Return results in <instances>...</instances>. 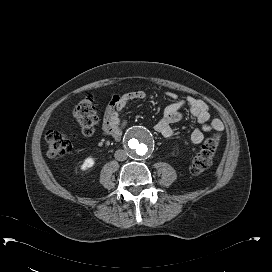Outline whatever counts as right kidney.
Wrapping results in <instances>:
<instances>
[{
	"label": "right kidney",
	"instance_id": "obj_1",
	"mask_svg": "<svg viewBox=\"0 0 272 272\" xmlns=\"http://www.w3.org/2000/svg\"><path fill=\"white\" fill-rule=\"evenodd\" d=\"M95 164V159L93 157H88L84 160L83 164L80 166L82 171H86L89 168L93 167Z\"/></svg>",
	"mask_w": 272,
	"mask_h": 272
}]
</instances>
